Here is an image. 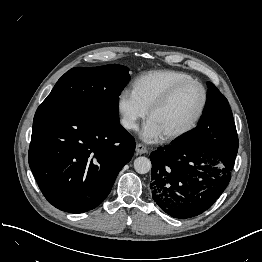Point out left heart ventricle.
Returning <instances> with one entry per match:
<instances>
[{
	"label": "left heart ventricle",
	"instance_id": "left-heart-ventricle-1",
	"mask_svg": "<svg viewBox=\"0 0 262 262\" xmlns=\"http://www.w3.org/2000/svg\"><path fill=\"white\" fill-rule=\"evenodd\" d=\"M202 93L198 86L189 85L181 89L172 100L157 111L151 120L163 135L176 132L185 127L196 113Z\"/></svg>",
	"mask_w": 262,
	"mask_h": 262
}]
</instances>
